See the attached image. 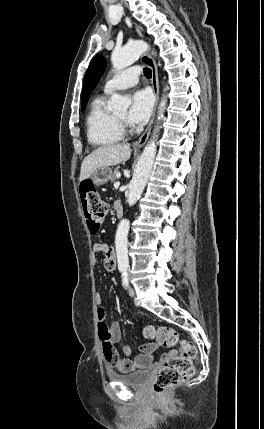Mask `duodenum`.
<instances>
[{
  "label": "duodenum",
  "instance_id": "obj_1",
  "mask_svg": "<svg viewBox=\"0 0 264 429\" xmlns=\"http://www.w3.org/2000/svg\"><path fill=\"white\" fill-rule=\"evenodd\" d=\"M115 211H116V215L117 217H122L123 216V207L120 203L115 205Z\"/></svg>",
  "mask_w": 264,
  "mask_h": 429
}]
</instances>
